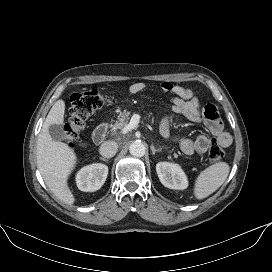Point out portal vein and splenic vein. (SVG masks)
<instances>
[{
    "label": "portal vein and splenic vein",
    "instance_id": "1",
    "mask_svg": "<svg viewBox=\"0 0 272 272\" xmlns=\"http://www.w3.org/2000/svg\"><path fill=\"white\" fill-rule=\"evenodd\" d=\"M136 124H137V121L132 120L128 125H126V126L122 129L121 133H122V134H126L127 132L131 131V130L135 127Z\"/></svg>",
    "mask_w": 272,
    "mask_h": 272
}]
</instances>
